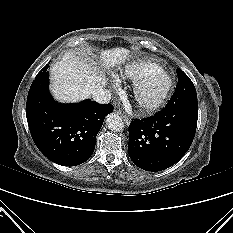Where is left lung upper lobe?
<instances>
[{"mask_svg": "<svg viewBox=\"0 0 233 233\" xmlns=\"http://www.w3.org/2000/svg\"><path fill=\"white\" fill-rule=\"evenodd\" d=\"M178 84L170 102L176 105H183L190 102H197L196 89L190 78L179 68L176 70Z\"/></svg>", "mask_w": 233, "mask_h": 233, "instance_id": "left-lung-upper-lobe-1", "label": "left lung upper lobe"}]
</instances>
